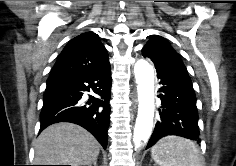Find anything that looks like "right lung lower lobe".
<instances>
[{
  "mask_svg": "<svg viewBox=\"0 0 236 166\" xmlns=\"http://www.w3.org/2000/svg\"><path fill=\"white\" fill-rule=\"evenodd\" d=\"M93 90L101 98L91 96L84 103V92ZM111 69L83 74L50 76L44 93L40 131L58 122H71L87 129L106 149L110 116ZM91 103V105H89ZM102 107L103 109H99Z\"/></svg>",
  "mask_w": 236,
  "mask_h": 166,
  "instance_id": "98d812e1",
  "label": "right lung lower lobe"
}]
</instances>
